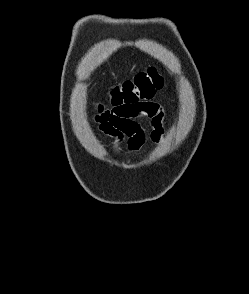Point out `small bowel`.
Here are the masks:
<instances>
[{"instance_id":"1","label":"small bowel","mask_w":249,"mask_h":294,"mask_svg":"<svg viewBox=\"0 0 249 294\" xmlns=\"http://www.w3.org/2000/svg\"><path fill=\"white\" fill-rule=\"evenodd\" d=\"M150 120L151 140L160 143L163 140L164 114L155 102L119 104L100 109L96 121L101 132L113 138L117 144L125 142L130 152H138L145 143V134L141 122Z\"/></svg>"}]
</instances>
